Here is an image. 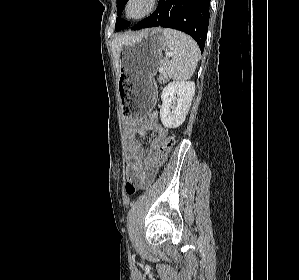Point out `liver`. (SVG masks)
<instances>
[{
  "mask_svg": "<svg viewBox=\"0 0 299 280\" xmlns=\"http://www.w3.org/2000/svg\"><path fill=\"white\" fill-rule=\"evenodd\" d=\"M132 39H134V36L122 35L119 37H115L112 41V53L117 71L119 70V57L121 48L124 44L130 42Z\"/></svg>",
  "mask_w": 299,
  "mask_h": 280,
  "instance_id": "6515ba94",
  "label": "liver"
}]
</instances>
